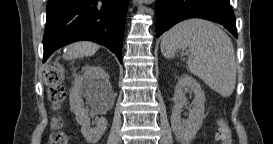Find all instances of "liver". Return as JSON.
<instances>
[{
	"instance_id": "1",
	"label": "liver",
	"mask_w": 273,
	"mask_h": 144,
	"mask_svg": "<svg viewBox=\"0 0 273 144\" xmlns=\"http://www.w3.org/2000/svg\"><path fill=\"white\" fill-rule=\"evenodd\" d=\"M99 45L89 41H80L68 45V50L64 55V59L71 60L84 56H92L99 49Z\"/></svg>"
}]
</instances>
